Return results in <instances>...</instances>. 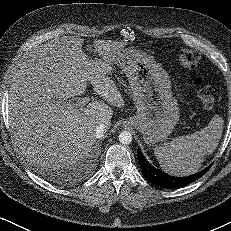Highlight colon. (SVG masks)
<instances>
[{
  "instance_id": "1",
  "label": "colon",
  "mask_w": 231,
  "mask_h": 231,
  "mask_svg": "<svg viewBox=\"0 0 231 231\" xmlns=\"http://www.w3.org/2000/svg\"><path fill=\"white\" fill-rule=\"evenodd\" d=\"M179 67L184 71H191L197 67L200 61V54L194 51H182L177 57ZM194 88L201 104L210 109L216 102V90L213 85L197 78L194 81Z\"/></svg>"
}]
</instances>
